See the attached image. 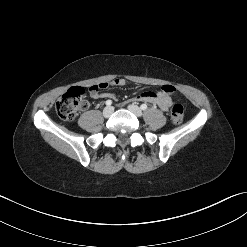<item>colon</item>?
<instances>
[{"mask_svg":"<svg viewBox=\"0 0 247 247\" xmlns=\"http://www.w3.org/2000/svg\"><path fill=\"white\" fill-rule=\"evenodd\" d=\"M107 86L106 83L94 85L92 88L101 90ZM85 90L82 87L70 88L56 102L55 109L58 116L64 121H72L79 110L85 106ZM171 121L174 125L182 123L184 118V108L179 101H174L170 112Z\"/></svg>","mask_w":247,"mask_h":247,"instance_id":"5ec220e1","label":"colon"}]
</instances>
